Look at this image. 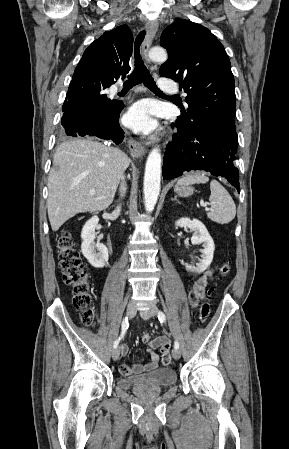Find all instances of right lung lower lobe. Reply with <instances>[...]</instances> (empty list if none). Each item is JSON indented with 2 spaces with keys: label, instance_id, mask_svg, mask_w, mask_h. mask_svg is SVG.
Segmentation results:
<instances>
[{
  "label": "right lung lower lobe",
  "instance_id": "1",
  "mask_svg": "<svg viewBox=\"0 0 289 449\" xmlns=\"http://www.w3.org/2000/svg\"><path fill=\"white\" fill-rule=\"evenodd\" d=\"M107 88L94 81L73 78L62 106L61 124L67 136H97L122 142L124 132L119 125L122 102L110 100L102 91Z\"/></svg>",
  "mask_w": 289,
  "mask_h": 449
}]
</instances>
